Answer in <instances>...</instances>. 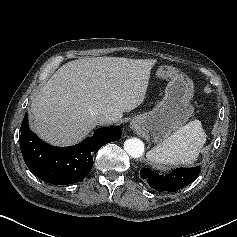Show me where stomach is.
I'll return each instance as SVG.
<instances>
[{
  "label": "stomach",
  "mask_w": 237,
  "mask_h": 237,
  "mask_svg": "<svg viewBox=\"0 0 237 237\" xmlns=\"http://www.w3.org/2000/svg\"><path fill=\"white\" fill-rule=\"evenodd\" d=\"M160 79H169L164 98L151 111L134 118L139 127L150 132L154 142H161L186 123L194 112L190 100L194 94L192 80L168 64L156 71Z\"/></svg>",
  "instance_id": "stomach-1"
}]
</instances>
